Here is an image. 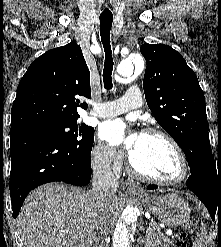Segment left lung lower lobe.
<instances>
[{
  "label": "left lung lower lobe",
  "instance_id": "obj_1",
  "mask_svg": "<svg viewBox=\"0 0 221 247\" xmlns=\"http://www.w3.org/2000/svg\"><path fill=\"white\" fill-rule=\"evenodd\" d=\"M186 185L190 191L207 207L212 220L215 215L218 217L221 213V164L218 165L212 154L203 157L200 162L190 168ZM157 185H149L147 189H156Z\"/></svg>",
  "mask_w": 221,
  "mask_h": 247
}]
</instances>
